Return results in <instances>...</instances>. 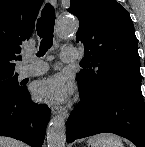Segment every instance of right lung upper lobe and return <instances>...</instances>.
Listing matches in <instances>:
<instances>
[{
    "label": "right lung upper lobe",
    "instance_id": "obj_1",
    "mask_svg": "<svg viewBox=\"0 0 145 147\" xmlns=\"http://www.w3.org/2000/svg\"><path fill=\"white\" fill-rule=\"evenodd\" d=\"M43 0H0V74L14 73Z\"/></svg>",
    "mask_w": 145,
    "mask_h": 147
}]
</instances>
